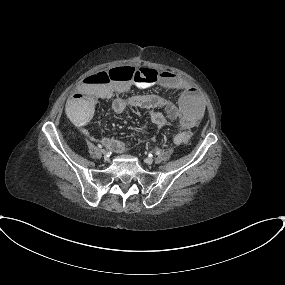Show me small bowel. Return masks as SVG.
Instances as JSON below:
<instances>
[{
    "mask_svg": "<svg viewBox=\"0 0 285 285\" xmlns=\"http://www.w3.org/2000/svg\"><path fill=\"white\" fill-rule=\"evenodd\" d=\"M122 67L124 66L114 68ZM110 70H101L94 73V77L99 75L107 76L109 79L108 83L101 84L86 78L79 90L67 99L65 112L75 125L82 127L87 124L94 114L96 101L105 99L111 100V109L117 114L124 113L128 109L147 111L152 123L158 130L163 129L167 125L168 119L177 121L180 130L175 133L174 142L180 144L177 138L180 133L186 134L190 139V130L202 120L204 109L201 99L186 79L173 72L162 71L158 74L156 82L140 81L129 83L109 77ZM142 77L145 78L144 76ZM135 87H161L166 91L178 94V100L176 103H173L151 93L132 95L128 98L119 96ZM83 132L92 138V135L87 130H83ZM102 142L113 152L121 153L128 148L127 142L122 140L105 137L102 139Z\"/></svg>",
    "mask_w": 285,
    "mask_h": 285,
    "instance_id": "c3829d8e",
    "label": "small bowel"
}]
</instances>
